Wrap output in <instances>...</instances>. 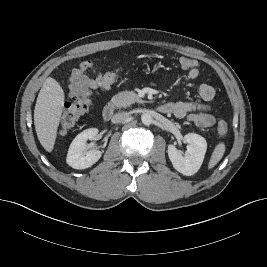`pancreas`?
Returning <instances> with one entry per match:
<instances>
[{"mask_svg": "<svg viewBox=\"0 0 267 267\" xmlns=\"http://www.w3.org/2000/svg\"><path fill=\"white\" fill-rule=\"evenodd\" d=\"M111 102L118 108H126L135 102L142 103L143 100L134 92H120L114 95Z\"/></svg>", "mask_w": 267, "mask_h": 267, "instance_id": "cf45deb5", "label": "pancreas"}]
</instances>
